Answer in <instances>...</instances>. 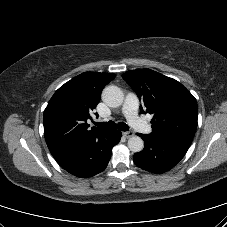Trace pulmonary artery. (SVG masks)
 <instances>
[{"label":"pulmonary artery","instance_id":"1","mask_svg":"<svg viewBox=\"0 0 227 227\" xmlns=\"http://www.w3.org/2000/svg\"><path fill=\"white\" fill-rule=\"evenodd\" d=\"M138 98L135 94H127L122 113L127 118L129 124L137 131L145 134L151 133V127L138 116Z\"/></svg>","mask_w":227,"mask_h":227}]
</instances>
